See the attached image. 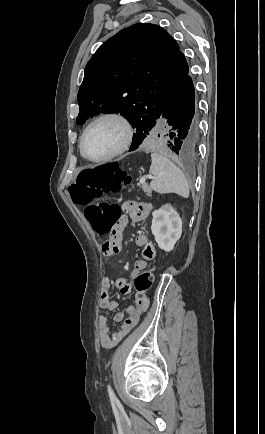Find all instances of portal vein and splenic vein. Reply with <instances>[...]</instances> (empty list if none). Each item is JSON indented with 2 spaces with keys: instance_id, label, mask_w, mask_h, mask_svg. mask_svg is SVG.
I'll list each match as a JSON object with an SVG mask.
<instances>
[{
  "instance_id": "obj_1",
  "label": "portal vein and splenic vein",
  "mask_w": 265,
  "mask_h": 434,
  "mask_svg": "<svg viewBox=\"0 0 265 434\" xmlns=\"http://www.w3.org/2000/svg\"><path fill=\"white\" fill-rule=\"evenodd\" d=\"M147 178H149V180H155L154 176H143V178H140L139 182L140 184H144L145 180H147Z\"/></svg>"
}]
</instances>
